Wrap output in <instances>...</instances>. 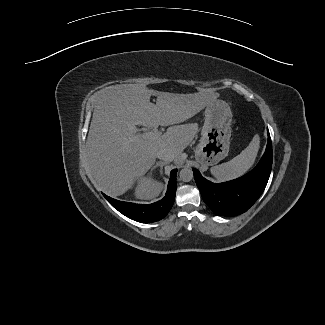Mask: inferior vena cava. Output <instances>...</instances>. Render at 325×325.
I'll use <instances>...</instances> for the list:
<instances>
[{
	"label": "inferior vena cava",
	"instance_id": "inferior-vena-cava-1",
	"mask_svg": "<svg viewBox=\"0 0 325 325\" xmlns=\"http://www.w3.org/2000/svg\"><path fill=\"white\" fill-rule=\"evenodd\" d=\"M157 157L161 160H164L165 162H171L174 160L175 156L174 154L166 149H161L157 152Z\"/></svg>",
	"mask_w": 325,
	"mask_h": 325
}]
</instances>
